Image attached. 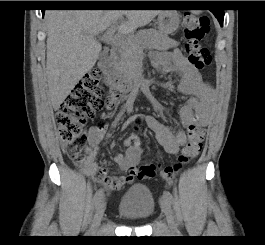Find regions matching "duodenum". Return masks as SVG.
I'll list each match as a JSON object with an SVG mask.
<instances>
[{
	"label": "duodenum",
	"instance_id": "1",
	"mask_svg": "<svg viewBox=\"0 0 265 245\" xmlns=\"http://www.w3.org/2000/svg\"><path fill=\"white\" fill-rule=\"evenodd\" d=\"M115 59L113 52L108 55L101 62L102 77L105 84L115 92L126 94L133 88V82L128 79H120L115 73Z\"/></svg>",
	"mask_w": 265,
	"mask_h": 245
}]
</instances>
